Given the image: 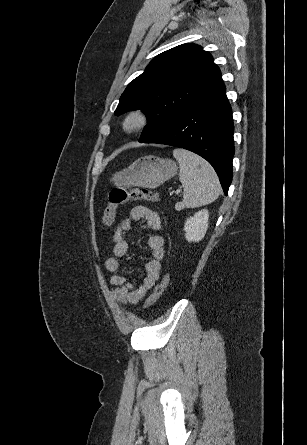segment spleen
<instances>
[{
  "mask_svg": "<svg viewBox=\"0 0 307 445\" xmlns=\"http://www.w3.org/2000/svg\"><path fill=\"white\" fill-rule=\"evenodd\" d=\"M173 154L180 166L179 178L184 186L185 206L196 208L216 200L221 192V186L213 166L195 152L185 148H174Z\"/></svg>",
  "mask_w": 307,
  "mask_h": 445,
  "instance_id": "1",
  "label": "spleen"
}]
</instances>
